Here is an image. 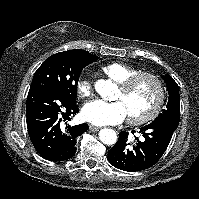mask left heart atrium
Wrapping results in <instances>:
<instances>
[{"label": "left heart atrium", "instance_id": "obj_1", "mask_svg": "<svg viewBox=\"0 0 199 199\" xmlns=\"http://www.w3.org/2000/svg\"><path fill=\"white\" fill-rule=\"evenodd\" d=\"M82 116L91 124L105 126L122 122L127 116V111L119 100L114 102L93 100L84 105Z\"/></svg>", "mask_w": 199, "mask_h": 199}]
</instances>
